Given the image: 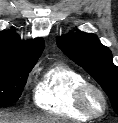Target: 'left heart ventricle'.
Instances as JSON below:
<instances>
[{
	"instance_id": "b2bd125f",
	"label": "left heart ventricle",
	"mask_w": 118,
	"mask_h": 123,
	"mask_svg": "<svg viewBox=\"0 0 118 123\" xmlns=\"http://www.w3.org/2000/svg\"><path fill=\"white\" fill-rule=\"evenodd\" d=\"M89 103L90 106L93 108L94 111H100L102 108V102L99 96L95 93H91L89 96Z\"/></svg>"
}]
</instances>
